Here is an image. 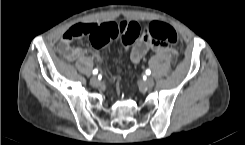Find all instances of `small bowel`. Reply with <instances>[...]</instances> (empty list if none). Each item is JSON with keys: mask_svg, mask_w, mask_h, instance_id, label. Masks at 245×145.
<instances>
[{"mask_svg": "<svg viewBox=\"0 0 245 145\" xmlns=\"http://www.w3.org/2000/svg\"><path fill=\"white\" fill-rule=\"evenodd\" d=\"M125 22H133V21L125 20ZM88 24L92 25L93 28L97 31L94 40H92L94 47L91 50H86L79 46H72L71 41L66 40L65 38H63L60 41L58 45V51L68 61H74L75 59H77L78 57L84 54H91L99 59L102 58L103 48L110 41L109 32L113 27H118L119 25V23L114 21H104L100 23H88ZM151 50H154L158 53L171 51L164 45L155 42L139 41L134 45V47L131 50V54H130L131 60L137 63L141 61Z\"/></svg>", "mask_w": 245, "mask_h": 145, "instance_id": "c3829d8e", "label": "small bowel"}]
</instances>
